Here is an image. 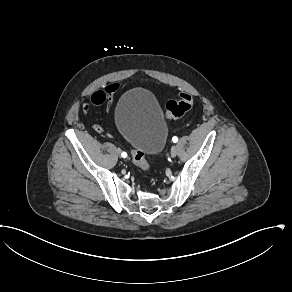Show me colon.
<instances>
[{"label": "colon", "instance_id": "obj_1", "mask_svg": "<svg viewBox=\"0 0 292 292\" xmlns=\"http://www.w3.org/2000/svg\"><path fill=\"white\" fill-rule=\"evenodd\" d=\"M106 99L104 91H98L92 96V103L94 105H101ZM193 98L190 95L183 94L179 99L169 100L166 102L163 115L165 118L173 119L180 118L193 108ZM97 132H101V127L98 124L94 125ZM131 160L135 166H137L142 172L148 171V163L146 160L145 152L139 148H133L131 150Z\"/></svg>", "mask_w": 292, "mask_h": 292}]
</instances>
